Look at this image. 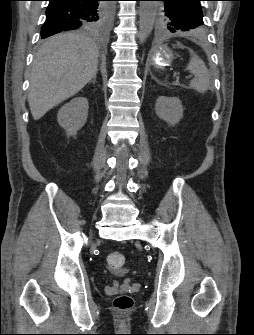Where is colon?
<instances>
[{"instance_id":"1","label":"colon","mask_w":254,"mask_h":335,"mask_svg":"<svg viewBox=\"0 0 254 335\" xmlns=\"http://www.w3.org/2000/svg\"><path fill=\"white\" fill-rule=\"evenodd\" d=\"M107 265L108 267L118 272L125 265V256L119 251H111L107 255ZM114 307L122 312H126L133 307V299L129 295H119L114 299Z\"/></svg>"}]
</instances>
